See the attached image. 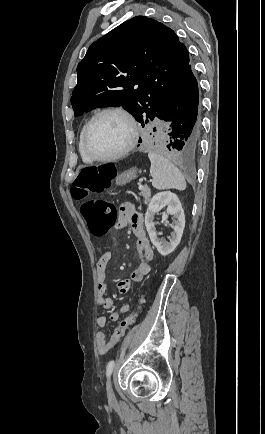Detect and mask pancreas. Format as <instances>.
I'll list each match as a JSON object with an SVG mask.
<instances>
[{
    "label": "pancreas",
    "mask_w": 265,
    "mask_h": 434,
    "mask_svg": "<svg viewBox=\"0 0 265 434\" xmlns=\"http://www.w3.org/2000/svg\"><path fill=\"white\" fill-rule=\"evenodd\" d=\"M141 194L144 198L145 204H148V202H150V196H151L150 188H148V186H143V190H141Z\"/></svg>",
    "instance_id": "cf45deb5"
}]
</instances>
